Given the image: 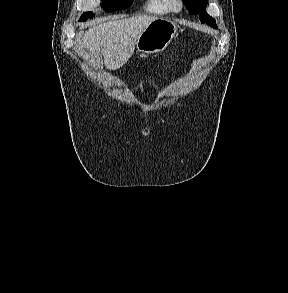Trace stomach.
I'll return each instance as SVG.
<instances>
[{
    "label": "stomach",
    "instance_id": "stomach-1",
    "mask_svg": "<svg viewBox=\"0 0 288 293\" xmlns=\"http://www.w3.org/2000/svg\"><path fill=\"white\" fill-rule=\"evenodd\" d=\"M178 26L164 18L151 22L140 34L137 42V52L141 54H157L164 51L175 38Z\"/></svg>",
    "mask_w": 288,
    "mask_h": 293
}]
</instances>
